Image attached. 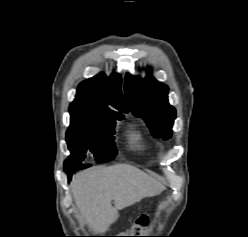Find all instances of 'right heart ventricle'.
<instances>
[{"instance_id": "1", "label": "right heart ventricle", "mask_w": 248, "mask_h": 237, "mask_svg": "<svg viewBox=\"0 0 248 237\" xmlns=\"http://www.w3.org/2000/svg\"><path fill=\"white\" fill-rule=\"evenodd\" d=\"M128 144L132 149L137 151H144L148 148L142 134L137 130H133L129 133Z\"/></svg>"}]
</instances>
